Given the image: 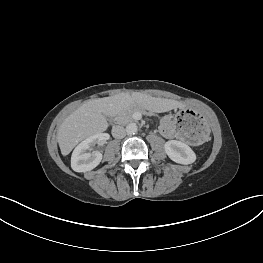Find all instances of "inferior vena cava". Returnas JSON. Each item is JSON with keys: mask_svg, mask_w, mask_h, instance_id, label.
<instances>
[{"mask_svg": "<svg viewBox=\"0 0 263 263\" xmlns=\"http://www.w3.org/2000/svg\"><path fill=\"white\" fill-rule=\"evenodd\" d=\"M126 135V130L123 126H115L112 128V136L117 139L124 138Z\"/></svg>", "mask_w": 263, "mask_h": 263, "instance_id": "obj_1", "label": "inferior vena cava"}]
</instances>
